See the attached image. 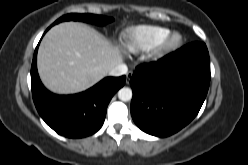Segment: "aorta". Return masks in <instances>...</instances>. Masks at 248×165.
<instances>
[{"instance_id": "762f6f07", "label": "aorta", "mask_w": 248, "mask_h": 165, "mask_svg": "<svg viewBox=\"0 0 248 165\" xmlns=\"http://www.w3.org/2000/svg\"><path fill=\"white\" fill-rule=\"evenodd\" d=\"M118 98L121 101H130L132 99V90L128 87H123L118 91Z\"/></svg>"}]
</instances>
